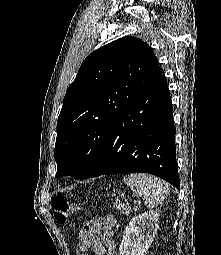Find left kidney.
Wrapping results in <instances>:
<instances>
[{
	"mask_svg": "<svg viewBox=\"0 0 221 255\" xmlns=\"http://www.w3.org/2000/svg\"><path fill=\"white\" fill-rule=\"evenodd\" d=\"M159 215L157 209L133 217L123 232L119 255H144L155 237Z\"/></svg>",
	"mask_w": 221,
	"mask_h": 255,
	"instance_id": "5707ae66",
	"label": "left kidney"
}]
</instances>
